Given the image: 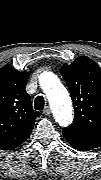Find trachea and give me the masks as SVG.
Instances as JSON below:
<instances>
[{"mask_svg":"<svg viewBox=\"0 0 101 180\" xmlns=\"http://www.w3.org/2000/svg\"><path fill=\"white\" fill-rule=\"evenodd\" d=\"M44 104H45V100H44L43 96H38V97H36V99L34 101V108L36 110H41L44 108Z\"/></svg>","mask_w":101,"mask_h":180,"instance_id":"3493384b","label":"trachea"}]
</instances>
